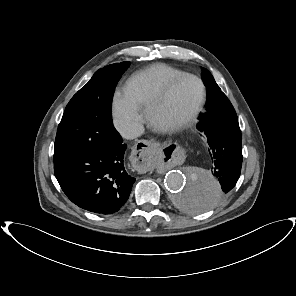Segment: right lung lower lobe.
I'll return each instance as SVG.
<instances>
[{
  "instance_id": "1",
  "label": "right lung lower lobe",
  "mask_w": 296,
  "mask_h": 296,
  "mask_svg": "<svg viewBox=\"0 0 296 296\" xmlns=\"http://www.w3.org/2000/svg\"><path fill=\"white\" fill-rule=\"evenodd\" d=\"M126 145L84 150L54 158L55 177L77 206L97 214H113L128 200L135 178L124 168Z\"/></svg>"
}]
</instances>
